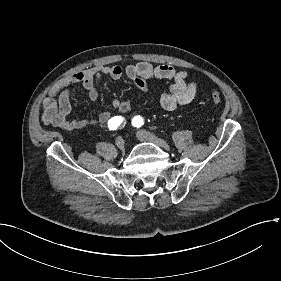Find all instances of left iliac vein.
Here are the masks:
<instances>
[{"instance_id": "1", "label": "left iliac vein", "mask_w": 281, "mask_h": 281, "mask_svg": "<svg viewBox=\"0 0 281 281\" xmlns=\"http://www.w3.org/2000/svg\"><path fill=\"white\" fill-rule=\"evenodd\" d=\"M136 136L142 142H152L155 145H157L161 148H164V149H169V147H170L169 144L165 140L158 138L154 134L144 131V130L138 131Z\"/></svg>"}]
</instances>
